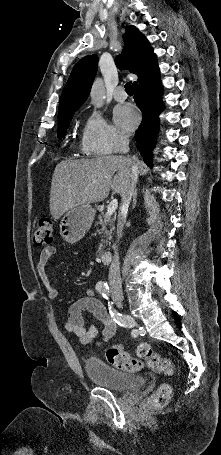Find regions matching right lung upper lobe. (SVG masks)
<instances>
[{
	"label": "right lung upper lobe",
	"instance_id": "obj_1",
	"mask_svg": "<svg viewBox=\"0 0 221 455\" xmlns=\"http://www.w3.org/2000/svg\"><path fill=\"white\" fill-rule=\"evenodd\" d=\"M123 38L124 48L115 59L116 65L120 69H128L139 78L146 67L156 59V55L145 36L135 26H128ZM97 64L98 57L93 54L82 58L74 66L63 89L58 114L75 112L84 103L96 76Z\"/></svg>",
	"mask_w": 221,
	"mask_h": 455
}]
</instances>
